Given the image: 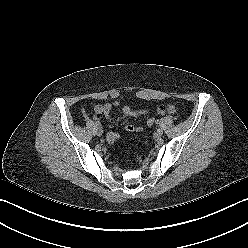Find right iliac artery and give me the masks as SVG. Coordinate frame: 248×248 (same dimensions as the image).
I'll return each instance as SVG.
<instances>
[{"label":"right iliac artery","mask_w":248,"mask_h":248,"mask_svg":"<svg viewBox=\"0 0 248 248\" xmlns=\"http://www.w3.org/2000/svg\"><path fill=\"white\" fill-rule=\"evenodd\" d=\"M96 126L100 127V123L99 122H96Z\"/></svg>","instance_id":"right-iliac-artery-1"}]
</instances>
